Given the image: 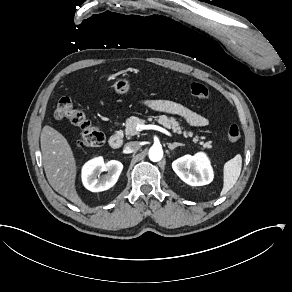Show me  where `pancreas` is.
I'll return each instance as SVG.
<instances>
[{"instance_id": "cf45deb5", "label": "pancreas", "mask_w": 292, "mask_h": 292, "mask_svg": "<svg viewBox=\"0 0 292 292\" xmlns=\"http://www.w3.org/2000/svg\"><path fill=\"white\" fill-rule=\"evenodd\" d=\"M155 119L159 124L163 125L164 127L168 128V129H172L173 132H176L178 134H182L184 135V137H192L193 133L192 132H182L181 127L179 126V122L176 121L175 118L170 117L168 118L166 115H160V116H152L149 117L148 120L152 121V119ZM145 120L139 119L138 117L135 116H131L126 120V128H125V134L128 138H130L131 136L134 135H139V131L136 129L137 124H144ZM201 139H205L204 136L201 137ZM199 141V137L195 136L193 138V142L197 143ZM212 141H208V142H203L200 141L199 144L203 146V148H211Z\"/></svg>"}]
</instances>
